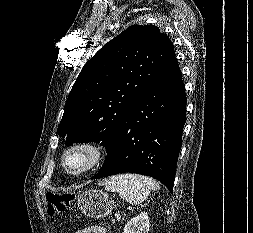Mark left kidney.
<instances>
[{"instance_id":"1","label":"left kidney","mask_w":253,"mask_h":233,"mask_svg":"<svg viewBox=\"0 0 253 233\" xmlns=\"http://www.w3.org/2000/svg\"><path fill=\"white\" fill-rule=\"evenodd\" d=\"M150 228L149 217L146 212L131 218L124 227V233H148Z\"/></svg>"}]
</instances>
